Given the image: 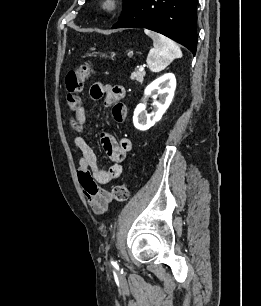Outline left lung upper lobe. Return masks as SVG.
I'll use <instances>...</instances> for the list:
<instances>
[{"instance_id": "obj_1", "label": "left lung upper lobe", "mask_w": 261, "mask_h": 306, "mask_svg": "<svg viewBox=\"0 0 261 306\" xmlns=\"http://www.w3.org/2000/svg\"><path fill=\"white\" fill-rule=\"evenodd\" d=\"M123 1H124V10L121 17L124 16L132 8V6L137 0H123Z\"/></svg>"}]
</instances>
